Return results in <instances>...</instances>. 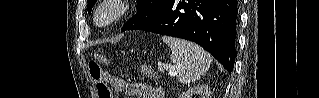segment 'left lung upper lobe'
Segmentation results:
<instances>
[{"label":"left lung upper lobe","mask_w":319,"mask_h":98,"mask_svg":"<svg viewBox=\"0 0 319 98\" xmlns=\"http://www.w3.org/2000/svg\"><path fill=\"white\" fill-rule=\"evenodd\" d=\"M88 1V13L91 12L96 0ZM165 0H138L137 13L126 22L121 30H136L154 20L162 9Z\"/></svg>","instance_id":"left-lung-upper-lobe-1"}]
</instances>
